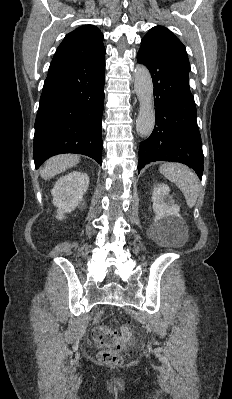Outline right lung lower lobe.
Returning <instances> with one entry per match:
<instances>
[{"instance_id": "right-lung-lower-lobe-1", "label": "right lung lower lobe", "mask_w": 232, "mask_h": 399, "mask_svg": "<svg viewBox=\"0 0 232 399\" xmlns=\"http://www.w3.org/2000/svg\"><path fill=\"white\" fill-rule=\"evenodd\" d=\"M104 55L52 60L35 120L36 168L61 153L87 155L101 164Z\"/></svg>"}]
</instances>
